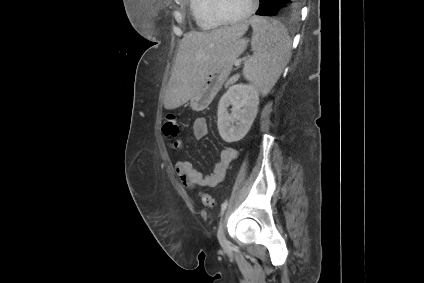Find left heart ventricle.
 Segmentation results:
<instances>
[{"label":"left heart ventricle","mask_w":424,"mask_h":283,"mask_svg":"<svg viewBox=\"0 0 424 283\" xmlns=\"http://www.w3.org/2000/svg\"><path fill=\"white\" fill-rule=\"evenodd\" d=\"M250 0H219L221 13L228 18H235L247 11Z\"/></svg>","instance_id":"obj_1"}]
</instances>
